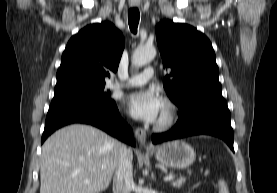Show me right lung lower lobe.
Wrapping results in <instances>:
<instances>
[{
    "label": "right lung lower lobe",
    "mask_w": 277,
    "mask_h": 193,
    "mask_svg": "<svg viewBox=\"0 0 277 193\" xmlns=\"http://www.w3.org/2000/svg\"><path fill=\"white\" fill-rule=\"evenodd\" d=\"M71 123L93 125L135 146L133 131L121 118L115 103L103 105L68 96H54L47 113L41 143L55 130Z\"/></svg>",
    "instance_id": "right-lung-lower-lobe-1"
}]
</instances>
